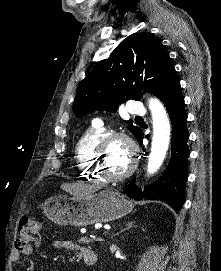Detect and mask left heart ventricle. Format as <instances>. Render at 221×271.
Wrapping results in <instances>:
<instances>
[{
  "instance_id": "left-heart-ventricle-1",
  "label": "left heart ventricle",
  "mask_w": 221,
  "mask_h": 271,
  "mask_svg": "<svg viewBox=\"0 0 221 271\" xmlns=\"http://www.w3.org/2000/svg\"><path fill=\"white\" fill-rule=\"evenodd\" d=\"M129 141L127 138H120L118 141H107L105 144L104 156H100L99 163L107 168V175H122L124 168L133 163L132 159H126L129 152H125L123 144Z\"/></svg>"
}]
</instances>
